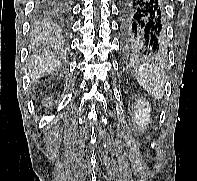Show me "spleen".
Segmentation results:
<instances>
[{
    "label": "spleen",
    "instance_id": "1",
    "mask_svg": "<svg viewBox=\"0 0 197 181\" xmlns=\"http://www.w3.org/2000/svg\"><path fill=\"white\" fill-rule=\"evenodd\" d=\"M136 79L153 97L161 99L164 94V78L162 70L152 65H141L136 68Z\"/></svg>",
    "mask_w": 197,
    "mask_h": 181
}]
</instances>
